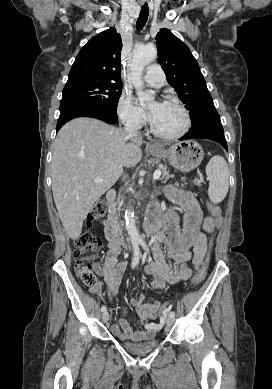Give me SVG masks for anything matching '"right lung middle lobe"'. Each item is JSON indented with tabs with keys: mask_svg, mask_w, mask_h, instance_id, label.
Masks as SVG:
<instances>
[{
	"mask_svg": "<svg viewBox=\"0 0 272 389\" xmlns=\"http://www.w3.org/2000/svg\"><path fill=\"white\" fill-rule=\"evenodd\" d=\"M122 84L109 81L86 80L66 84L61 102L84 101L116 112Z\"/></svg>",
	"mask_w": 272,
	"mask_h": 389,
	"instance_id": "dd1d6c3e",
	"label": "right lung middle lobe"
}]
</instances>
